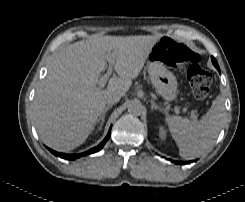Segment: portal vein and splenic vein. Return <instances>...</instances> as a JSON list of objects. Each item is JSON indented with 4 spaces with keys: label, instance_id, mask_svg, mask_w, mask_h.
<instances>
[{
    "label": "portal vein and splenic vein",
    "instance_id": "18ae733b",
    "mask_svg": "<svg viewBox=\"0 0 245 202\" xmlns=\"http://www.w3.org/2000/svg\"><path fill=\"white\" fill-rule=\"evenodd\" d=\"M106 59L107 61L109 62V69L108 71L102 76L100 77L99 79V82H98V87L101 89L105 86L106 84V81L108 80V78L110 77L111 73H112V70H113V65H114V62H115V53L112 52V53H108L106 55ZM175 111L177 112L178 109H175ZM190 118L192 119H196V117L194 116L193 113L190 114Z\"/></svg>",
    "mask_w": 245,
    "mask_h": 202
}]
</instances>
